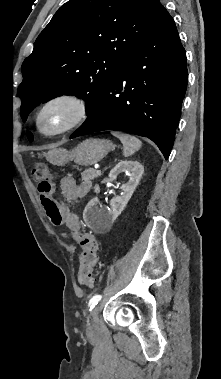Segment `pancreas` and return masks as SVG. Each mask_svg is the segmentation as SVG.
Returning <instances> with one entry per match:
<instances>
[{
	"label": "pancreas",
	"instance_id": "pancreas-1",
	"mask_svg": "<svg viewBox=\"0 0 221 379\" xmlns=\"http://www.w3.org/2000/svg\"><path fill=\"white\" fill-rule=\"evenodd\" d=\"M101 173L97 172V170L89 168L81 173L82 179L87 181V180H93L100 176Z\"/></svg>",
	"mask_w": 221,
	"mask_h": 379
}]
</instances>
